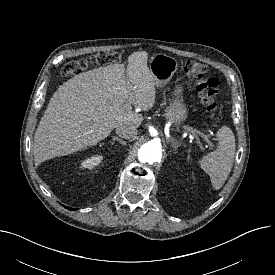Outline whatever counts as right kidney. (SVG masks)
Masks as SVG:
<instances>
[{"mask_svg":"<svg viewBox=\"0 0 275 275\" xmlns=\"http://www.w3.org/2000/svg\"><path fill=\"white\" fill-rule=\"evenodd\" d=\"M102 159H103L102 156L94 155V156H91L90 158H86L85 160H83L81 165L84 168L92 169L95 166H97L101 162Z\"/></svg>","mask_w":275,"mask_h":275,"instance_id":"right-kidney-1","label":"right kidney"}]
</instances>
